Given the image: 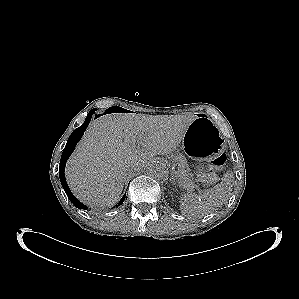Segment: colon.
Returning a JSON list of instances; mask_svg holds the SVG:
<instances>
[{"instance_id":"colon-1","label":"colon","mask_w":299,"mask_h":299,"mask_svg":"<svg viewBox=\"0 0 299 299\" xmlns=\"http://www.w3.org/2000/svg\"><path fill=\"white\" fill-rule=\"evenodd\" d=\"M226 163V156L219 155L212 163L206 168H199L198 175L203 181H212L215 178V170L221 169Z\"/></svg>"}]
</instances>
